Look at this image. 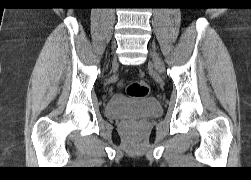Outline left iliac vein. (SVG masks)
I'll return each instance as SVG.
<instances>
[{
    "label": "left iliac vein",
    "mask_w": 251,
    "mask_h": 180,
    "mask_svg": "<svg viewBox=\"0 0 251 180\" xmlns=\"http://www.w3.org/2000/svg\"><path fill=\"white\" fill-rule=\"evenodd\" d=\"M150 56L155 69L160 73L164 72V64L155 49H150Z\"/></svg>",
    "instance_id": "obj_1"
}]
</instances>
